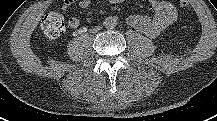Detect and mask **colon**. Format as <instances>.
I'll return each mask as SVG.
<instances>
[{
	"instance_id": "obj_1",
	"label": "colon",
	"mask_w": 217,
	"mask_h": 121,
	"mask_svg": "<svg viewBox=\"0 0 217 121\" xmlns=\"http://www.w3.org/2000/svg\"><path fill=\"white\" fill-rule=\"evenodd\" d=\"M181 6L187 7L188 0H179ZM42 29L49 37H59L65 33L66 27L61 13L53 11L48 13L42 21Z\"/></svg>"
}]
</instances>
